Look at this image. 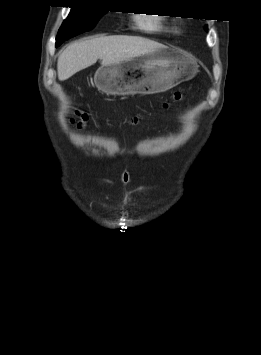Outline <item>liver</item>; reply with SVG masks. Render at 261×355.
I'll use <instances>...</instances> for the list:
<instances>
[{"mask_svg":"<svg viewBox=\"0 0 261 355\" xmlns=\"http://www.w3.org/2000/svg\"><path fill=\"white\" fill-rule=\"evenodd\" d=\"M164 47L162 44L139 36L114 35L93 37L71 43L59 56L58 78L69 79L77 72L95 64L119 63Z\"/></svg>","mask_w":261,"mask_h":355,"instance_id":"liver-1","label":"liver"}]
</instances>
